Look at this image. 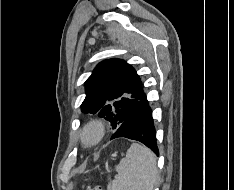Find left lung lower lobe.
<instances>
[{
	"instance_id": "left-lung-lower-lobe-1",
	"label": "left lung lower lobe",
	"mask_w": 234,
	"mask_h": 190,
	"mask_svg": "<svg viewBox=\"0 0 234 190\" xmlns=\"http://www.w3.org/2000/svg\"><path fill=\"white\" fill-rule=\"evenodd\" d=\"M120 137L140 141L156 155H159L152 111L149 107L146 94L136 103L126 119L112 135L111 140Z\"/></svg>"
}]
</instances>
